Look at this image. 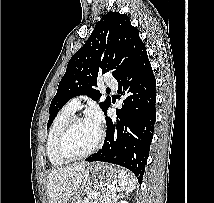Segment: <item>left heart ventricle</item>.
<instances>
[{
    "mask_svg": "<svg viewBox=\"0 0 214 203\" xmlns=\"http://www.w3.org/2000/svg\"><path fill=\"white\" fill-rule=\"evenodd\" d=\"M99 135V128L85 119L78 122L70 131L65 149L70 155H79L93 147Z\"/></svg>",
    "mask_w": 214,
    "mask_h": 203,
    "instance_id": "1",
    "label": "left heart ventricle"
}]
</instances>
